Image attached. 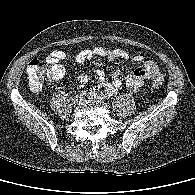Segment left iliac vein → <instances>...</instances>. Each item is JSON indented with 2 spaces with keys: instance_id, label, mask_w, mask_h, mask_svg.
Listing matches in <instances>:
<instances>
[{
  "instance_id": "1",
  "label": "left iliac vein",
  "mask_w": 195,
  "mask_h": 195,
  "mask_svg": "<svg viewBox=\"0 0 195 195\" xmlns=\"http://www.w3.org/2000/svg\"><path fill=\"white\" fill-rule=\"evenodd\" d=\"M87 97L90 99V100H96L98 102H103L104 101V98L102 97V95L100 94H97V93H89L87 95Z\"/></svg>"
}]
</instances>
